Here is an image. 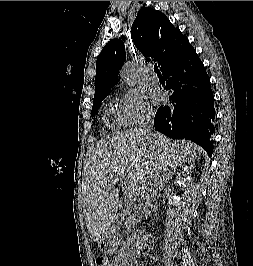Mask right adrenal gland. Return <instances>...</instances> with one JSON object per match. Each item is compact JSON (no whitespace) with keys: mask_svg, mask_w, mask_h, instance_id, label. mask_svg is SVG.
<instances>
[{"mask_svg":"<svg viewBox=\"0 0 253 266\" xmlns=\"http://www.w3.org/2000/svg\"><path fill=\"white\" fill-rule=\"evenodd\" d=\"M169 179V176H162V178H160V180L157 182V190L161 191L164 188L165 183Z\"/></svg>","mask_w":253,"mask_h":266,"instance_id":"right-adrenal-gland-1","label":"right adrenal gland"}]
</instances>
